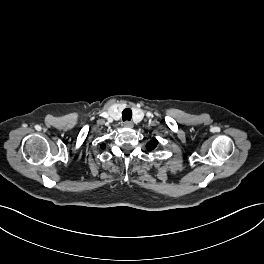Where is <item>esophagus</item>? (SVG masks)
Here are the masks:
<instances>
[{"label":"esophagus","instance_id":"obj_1","mask_svg":"<svg viewBox=\"0 0 264 264\" xmlns=\"http://www.w3.org/2000/svg\"><path fill=\"white\" fill-rule=\"evenodd\" d=\"M124 127H126V128H133V123L131 121H125L124 122Z\"/></svg>","mask_w":264,"mask_h":264}]
</instances>
